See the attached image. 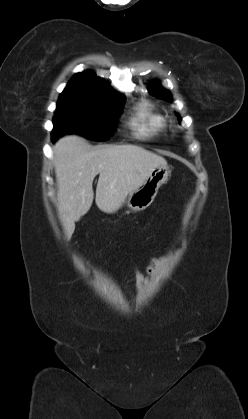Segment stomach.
<instances>
[{"instance_id": "0dacf381", "label": "stomach", "mask_w": 248, "mask_h": 419, "mask_svg": "<svg viewBox=\"0 0 248 419\" xmlns=\"http://www.w3.org/2000/svg\"><path fill=\"white\" fill-rule=\"evenodd\" d=\"M169 173L167 164L155 168L144 183L127 196L126 205L128 208L133 211H141L150 206L158 189L168 179Z\"/></svg>"}]
</instances>
